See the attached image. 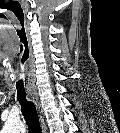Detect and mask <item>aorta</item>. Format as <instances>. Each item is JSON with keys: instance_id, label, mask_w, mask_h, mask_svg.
<instances>
[{"instance_id": "obj_1", "label": "aorta", "mask_w": 120, "mask_h": 133, "mask_svg": "<svg viewBox=\"0 0 120 133\" xmlns=\"http://www.w3.org/2000/svg\"><path fill=\"white\" fill-rule=\"evenodd\" d=\"M6 127H7V132L14 133L15 131H18V129L21 127V123L9 122Z\"/></svg>"}]
</instances>
